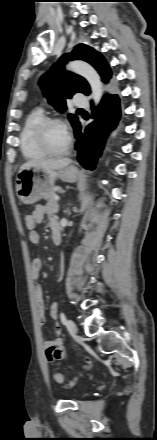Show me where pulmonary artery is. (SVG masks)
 Returning a JSON list of instances; mask_svg holds the SVG:
<instances>
[{
	"instance_id": "obj_1",
	"label": "pulmonary artery",
	"mask_w": 157,
	"mask_h": 440,
	"mask_svg": "<svg viewBox=\"0 0 157 440\" xmlns=\"http://www.w3.org/2000/svg\"><path fill=\"white\" fill-rule=\"evenodd\" d=\"M73 104L79 107L88 106V101L82 93H76L73 99Z\"/></svg>"
}]
</instances>
